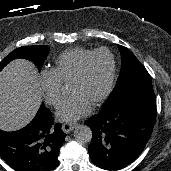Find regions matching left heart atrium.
<instances>
[{"label":"left heart atrium","mask_w":171,"mask_h":171,"mask_svg":"<svg viewBox=\"0 0 171 171\" xmlns=\"http://www.w3.org/2000/svg\"><path fill=\"white\" fill-rule=\"evenodd\" d=\"M90 104L79 94H71L60 104L56 117L59 121H76L90 112Z\"/></svg>","instance_id":"39dd6f15"}]
</instances>
